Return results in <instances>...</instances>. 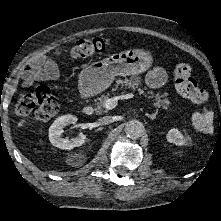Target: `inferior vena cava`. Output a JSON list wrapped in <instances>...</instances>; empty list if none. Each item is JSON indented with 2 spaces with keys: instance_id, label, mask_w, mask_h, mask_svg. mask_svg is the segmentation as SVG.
Returning a JSON list of instances; mask_svg holds the SVG:
<instances>
[{
  "instance_id": "1",
  "label": "inferior vena cava",
  "mask_w": 221,
  "mask_h": 221,
  "mask_svg": "<svg viewBox=\"0 0 221 221\" xmlns=\"http://www.w3.org/2000/svg\"><path fill=\"white\" fill-rule=\"evenodd\" d=\"M112 117L111 116H104V117H101L100 119H99V123L101 124V125H107V124H110V123H112Z\"/></svg>"
}]
</instances>
